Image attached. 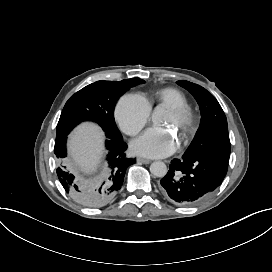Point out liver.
Returning a JSON list of instances; mask_svg holds the SVG:
<instances>
[{"instance_id": "6515ba94", "label": "liver", "mask_w": 272, "mask_h": 272, "mask_svg": "<svg viewBox=\"0 0 272 272\" xmlns=\"http://www.w3.org/2000/svg\"><path fill=\"white\" fill-rule=\"evenodd\" d=\"M101 134L92 126H84L77 130L71 140V172L84 179L82 171L94 167L99 156L104 153L101 149Z\"/></svg>"}]
</instances>
